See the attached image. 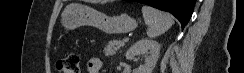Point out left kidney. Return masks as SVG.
Masks as SVG:
<instances>
[{
  "label": "left kidney",
  "mask_w": 244,
  "mask_h": 73,
  "mask_svg": "<svg viewBox=\"0 0 244 73\" xmlns=\"http://www.w3.org/2000/svg\"><path fill=\"white\" fill-rule=\"evenodd\" d=\"M146 54L145 63L134 70V73H152L160 54L158 42L141 39L134 43L126 52V59L137 61L136 56Z\"/></svg>",
  "instance_id": "1"
}]
</instances>
